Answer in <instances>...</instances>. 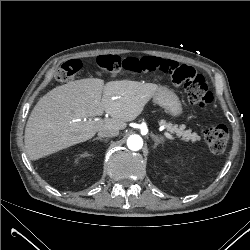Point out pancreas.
Instances as JSON below:
<instances>
[{"mask_svg":"<svg viewBox=\"0 0 250 250\" xmlns=\"http://www.w3.org/2000/svg\"><path fill=\"white\" fill-rule=\"evenodd\" d=\"M160 123L165 126L167 131H169L170 133L176 134L177 136H182V139L185 141L195 142L197 140H200V137L198 136L197 133L195 132L192 133L190 129L185 130V126L178 127V125L167 123L165 120H161Z\"/></svg>","mask_w":250,"mask_h":250,"instance_id":"cf45deb5","label":"pancreas"}]
</instances>
